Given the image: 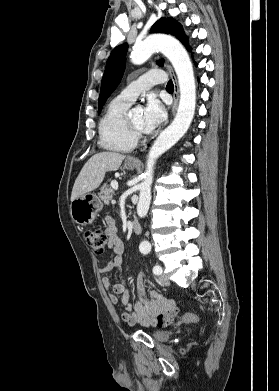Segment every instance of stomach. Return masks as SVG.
Wrapping results in <instances>:
<instances>
[{
	"mask_svg": "<svg viewBox=\"0 0 279 391\" xmlns=\"http://www.w3.org/2000/svg\"><path fill=\"white\" fill-rule=\"evenodd\" d=\"M137 163H124L128 170L136 168ZM103 204L100 198L95 194H83L71 202L70 214L72 220L80 225L91 224L97 213L101 211Z\"/></svg>",
	"mask_w": 279,
	"mask_h": 391,
	"instance_id": "stomach-1",
	"label": "stomach"
}]
</instances>
